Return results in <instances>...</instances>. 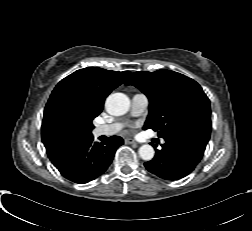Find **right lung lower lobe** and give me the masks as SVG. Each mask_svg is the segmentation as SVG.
<instances>
[{"instance_id": "98d812e1", "label": "right lung lower lobe", "mask_w": 252, "mask_h": 231, "mask_svg": "<svg viewBox=\"0 0 252 231\" xmlns=\"http://www.w3.org/2000/svg\"><path fill=\"white\" fill-rule=\"evenodd\" d=\"M123 144L119 136L105 143L93 141L92 134L72 141L60 161L54 166L70 181L83 184L104 173L113 160L116 149Z\"/></svg>"}]
</instances>
